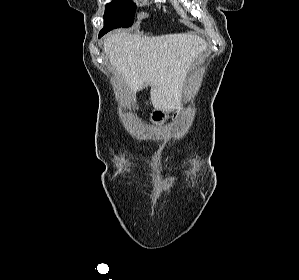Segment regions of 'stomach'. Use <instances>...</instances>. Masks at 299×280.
Listing matches in <instances>:
<instances>
[{"instance_id": "stomach-1", "label": "stomach", "mask_w": 299, "mask_h": 280, "mask_svg": "<svg viewBox=\"0 0 299 280\" xmlns=\"http://www.w3.org/2000/svg\"><path fill=\"white\" fill-rule=\"evenodd\" d=\"M150 120L155 125H161L166 120V112L161 110H154L151 113Z\"/></svg>"}]
</instances>
